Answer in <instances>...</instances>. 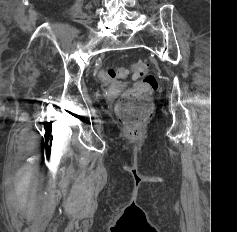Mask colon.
<instances>
[{
	"label": "colon",
	"instance_id": "colon-1",
	"mask_svg": "<svg viewBox=\"0 0 237 232\" xmlns=\"http://www.w3.org/2000/svg\"><path fill=\"white\" fill-rule=\"evenodd\" d=\"M131 74L135 84L126 90L116 107L119 121L130 134H137L152 113L149 96L157 89V80L148 74V64L135 62L130 69L109 66L99 74L101 80L110 82Z\"/></svg>",
	"mask_w": 237,
	"mask_h": 232
}]
</instances>
